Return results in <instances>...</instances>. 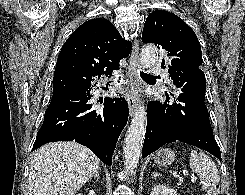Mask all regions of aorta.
Segmentation results:
<instances>
[{"instance_id":"1","label":"aorta","mask_w":245,"mask_h":195,"mask_svg":"<svg viewBox=\"0 0 245 195\" xmlns=\"http://www.w3.org/2000/svg\"><path fill=\"white\" fill-rule=\"evenodd\" d=\"M157 49L146 45L141 50L140 63L144 68H150L156 61ZM146 109L143 105L136 109L131 125L124 141V167L131 175H135L146 132Z\"/></svg>"}]
</instances>
